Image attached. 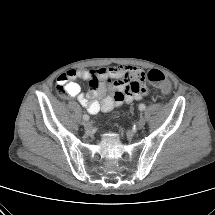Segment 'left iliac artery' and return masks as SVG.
Masks as SVG:
<instances>
[{"label":"left iliac artery","mask_w":215,"mask_h":215,"mask_svg":"<svg viewBox=\"0 0 215 215\" xmlns=\"http://www.w3.org/2000/svg\"><path fill=\"white\" fill-rule=\"evenodd\" d=\"M145 108H146L145 104L142 103L139 105V110L143 111L145 110Z\"/></svg>","instance_id":"obj_1"}]
</instances>
